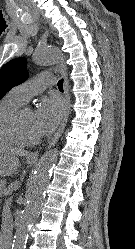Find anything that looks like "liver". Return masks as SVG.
Instances as JSON below:
<instances>
[{
	"label": "liver",
	"mask_w": 135,
	"mask_h": 249,
	"mask_svg": "<svg viewBox=\"0 0 135 249\" xmlns=\"http://www.w3.org/2000/svg\"><path fill=\"white\" fill-rule=\"evenodd\" d=\"M0 149H3L6 152H8V153H10L11 155H14V156L22 157V156L27 155V153L24 150L18 149V148H13V147H9V146H3Z\"/></svg>",
	"instance_id": "obj_1"
}]
</instances>
